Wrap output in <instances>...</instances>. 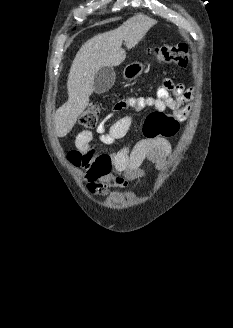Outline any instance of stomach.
I'll use <instances>...</instances> for the list:
<instances>
[{"label": "stomach", "mask_w": 233, "mask_h": 328, "mask_svg": "<svg viewBox=\"0 0 233 328\" xmlns=\"http://www.w3.org/2000/svg\"><path fill=\"white\" fill-rule=\"evenodd\" d=\"M144 71V66L140 62L128 64L123 71V76L126 80L132 81L138 78Z\"/></svg>", "instance_id": "1"}]
</instances>
